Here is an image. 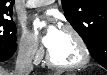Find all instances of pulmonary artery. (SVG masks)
Returning <instances> with one entry per match:
<instances>
[{
  "label": "pulmonary artery",
  "mask_w": 107,
  "mask_h": 75,
  "mask_svg": "<svg viewBox=\"0 0 107 75\" xmlns=\"http://www.w3.org/2000/svg\"><path fill=\"white\" fill-rule=\"evenodd\" d=\"M54 0H28L26 6L28 8L40 7L53 3Z\"/></svg>",
  "instance_id": "1"
}]
</instances>
